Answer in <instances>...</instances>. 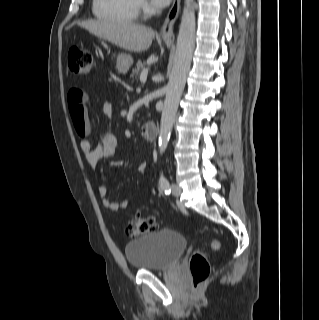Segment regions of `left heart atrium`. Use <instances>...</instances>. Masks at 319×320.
<instances>
[{
  "mask_svg": "<svg viewBox=\"0 0 319 320\" xmlns=\"http://www.w3.org/2000/svg\"><path fill=\"white\" fill-rule=\"evenodd\" d=\"M171 0H152L153 4L158 7H165L170 3Z\"/></svg>",
  "mask_w": 319,
  "mask_h": 320,
  "instance_id": "39dd6f15",
  "label": "left heart atrium"
}]
</instances>
